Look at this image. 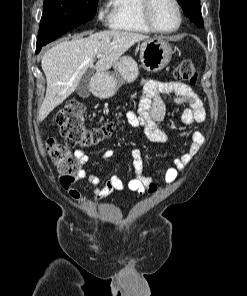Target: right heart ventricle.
<instances>
[{
    "mask_svg": "<svg viewBox=\"0 0 247 296\" xmlns=\"http://www.w3.org/2000/svg\"><path fill=\"white\" fill-rule=\"evenodd\" d=\"M143 0H110V26L115 30L132 33H151L142 16Z\"/></svg>",
    "mask_w": 247,
    "mask_h": 296,
    "instance_id": "right-heart-ventricle-1",
    "label": "right heart ventricle"
}]
</instances>
